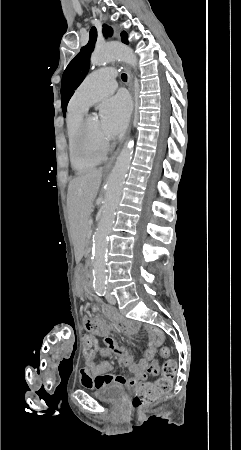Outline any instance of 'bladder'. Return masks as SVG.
Listing matches in <instances>:
<instances>
[{
  "label": "bladder",
  "mask_w": 241,
  "mask_h": 450,
  "mask_svg": "<svg viewBox=\"0 0 241 450\" xmlns=\"http://www.w3.org/2000/svg\"><path fill=\"white\" fill-rule=\"evenodd\" d=\"M94 396L106 402H119L125 397V389L120 385L109 384L97 389Z\"/></svg>",
  "instance_id": "obj_1"
}]
</instances>
